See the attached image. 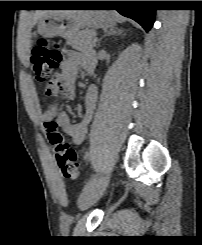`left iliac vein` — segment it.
<instances>
[{
	"label": "left iliac vein",
	"instance_id": "left-iliac-vein-1",
	"mask_svg": "<svg viewBox=\"0 0 202 245\" xmlns=\"http://www.w3.org/2000/svg\"><path fill=\"white\" fill-rule=\"evenodd\" d=\"M109 183V176L101 178L88 192L82 193L78 200L80 209L85 210L95 204L104 194Z\"/></svg>",
	"mask_w": 202,
	"mask_h": 245
}]
</instances>
